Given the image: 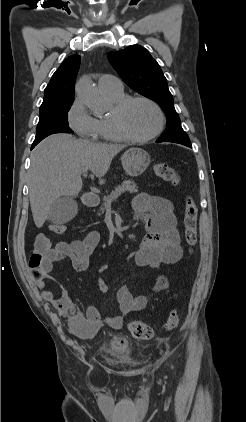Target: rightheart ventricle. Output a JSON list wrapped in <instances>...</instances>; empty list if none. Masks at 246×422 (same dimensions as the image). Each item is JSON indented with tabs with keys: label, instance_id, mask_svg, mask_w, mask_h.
Returning a JSON list of instances; mask_svg holds the SVG:
<instances>
[{
	"label": "right heart ventricle",
	"instance_id": "e07e8e85",
	"mask_svg": "<svg viewBox=\"0 0 246 422\" xmlns=\"http://www.w3.org/2000/svg\"><path fill=\"white\" fill-rule=\"evenodd\" d=\"M104 95L114 104L125 97L123 91L119 93H104ZM98 122L100 139L107 142H122L125 140L113 124L111 116L98 119Z\"/></svg>",
	"mask_w": 246,
	"mask_h": 422
}]
</instances>
